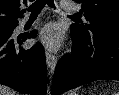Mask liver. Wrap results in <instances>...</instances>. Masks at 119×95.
<instances>
[{"label": "liver", "instance_id": "6515ba94", "mask_svg": "<svg viewBox=\"0 0 119 95\" xmlns=\"http://www.w3.org/2000/svg\"><path fill=\"white\" fill-rule=\"evenodd\" d=\"M0 95H18V94L11 88L0 85Z\"/></svg>", "mask_w": 119, "mask_h": 95}]
</instances>
